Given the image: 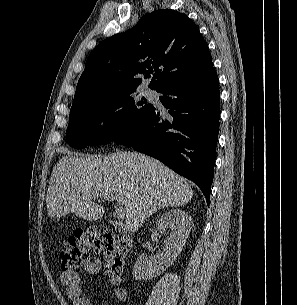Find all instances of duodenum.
I'll return each mask as SVG.
<instances>
[{"instance_id":"obj_1","label":"duodenum","mask_w":297,"mask_h":305,"mask_svg":"<svg viewBox=\"0 0 297 305\" xmlns=\"http://www.w3.org/2000/svg\"><path fill=\"white\" fill-rule=\"evenodd\" d=\"M111 224L117 231L123 234V242L128 248H131L133 245V240L127 226L122 222H111Z\"/></svg>"}]
</instances>
